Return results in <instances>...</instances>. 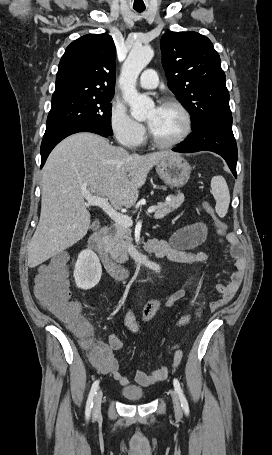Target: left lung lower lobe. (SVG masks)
<instances>
[{
	"instance_id": "1",
	"label": "left lung lower lobe",
	"mask_w": 272,
	"mask_h": 455,
	"mask_svg": "<svg viewBox=\"0 0 272 455\" xmlns=\"http://www.w3.org/2000/svg\"><path fill=\"white\" fill-rule=\"evenodd\" d=\"M192 130V134L172 150L181 153L202 150L215 152L225 159L237 177V145L232 131V116L210 119Z\"/></svg>"
}]
</instances>
